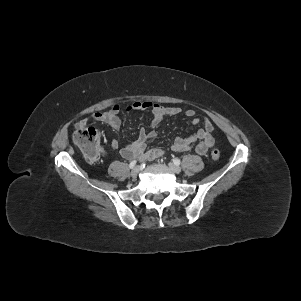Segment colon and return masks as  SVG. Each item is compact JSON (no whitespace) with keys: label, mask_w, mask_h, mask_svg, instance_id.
Returning a JSON list of instances; mask_svg holds the SVG:
<instances>
[{"label":"colon","mask_w":301,"mask_h":301,"mask_svg":"<svg viewBox=\"0 0 301 301\" xmlns=\"http://www.w3.org/2000/svg\"><path fill=\"white\" fill-rule=\"evenodd\" d=\"M100 138L101 133L97 127L81 126L76 129L73 141L87 161L96 162L100 156ZM211 157L213 160H218L220 151L213 149Z\"/></svg>","instance_id":"5ec220e1"}]
</instances>
